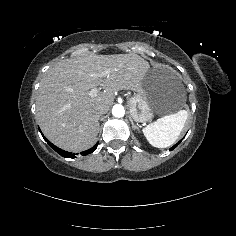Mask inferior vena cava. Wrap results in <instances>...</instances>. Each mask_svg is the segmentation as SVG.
Listing matches in <instances>:
<instances>
[{
	"mask_svg": "<svg viewBox=\"0 0 236 236\" xmlns=\"http://www.w3.org/2000/svg\"><path fill=\"white\" fill-rule=\"evenodd\" d=\"M95 113H96V116L98 117V119L102 114H105V112L102 109H96Z\"/></svg>",
	"mask_w": 236,
	"mask_h": 236,
	"instance_id": "1",
	"label": "inferior vena cava"
}]
</instances>
